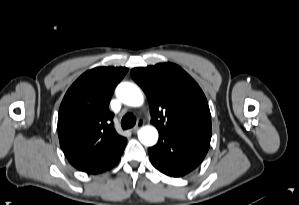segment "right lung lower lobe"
Instances as JSON below:
<instances>
[{
	"mask_svg": "<svg viewBox=\"0 0 299 205\" xmlns=\"http://www.w3.org/2000/svg\"><path fill=\"white\" fill-rule=\"evenodd\" d=\"M119 159H120V158H119ZM119 159L117 160V162L119 161ZM117 162H116V163H117ZM116 163H115V164H116ZM115 164H114V165H115ZM114 165H113V166H114ZM113 166H112V167H113ZM112 167H111V168H112Z\"/></svg>",
	"mask_w": 299,
	"mask_h": 205,
	"instance_id": "98d812e1",
	"label": "right lung lower lobe"
}]
</instances>
